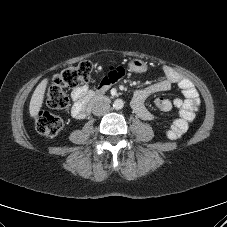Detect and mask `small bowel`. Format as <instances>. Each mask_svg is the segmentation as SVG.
Masks as SVG:
<instances>
[{"mask_svg":"<svg viewBox=\"0 0 227 227\" xmlns=\"http://www.w3.org/2000/svg\"><path fill=\"white\" fill-rule=\"evenodd\" d=\"M163 72V80L150 84L134 92L131 107L140 119L145 121L152 120L155 118V115L146 107V99L154 94L165 92L169 90L173 84H176L182 91L183 98H176L172 101L157 98L155 100V105L161 112H168L173 108L178 110L179 117L173 121L166 132V136L170 140H177L187 132L189 124L195 119L196 111L200 105L199 94L192 81L179 74L172 67L167 65L164 66ZM123 75L124 69L122 67L112 66L108 68L107 72L94 88H91L88 85L76 87L71 93V97L74 101L71 110L72 116L77 119L83 118V110L88 98L93 94H101L105 92Z\"/></svg>","mask_w":227,"mask_h":227,"instance_id":"small-bowel-1","label":"small bowel"}]
</instances>
